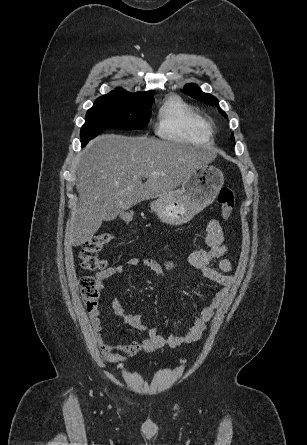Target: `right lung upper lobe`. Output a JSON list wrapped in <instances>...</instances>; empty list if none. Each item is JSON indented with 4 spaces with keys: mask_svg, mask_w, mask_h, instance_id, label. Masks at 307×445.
<instances>
[{
    "mask_svg": "<svg viewBox=\"0 0 307 445\" xmlns=\"http://www.w3.org/2000/svg\"><path fill=\"white\" fill-rule=\"evenodd\" d=\"M152 94H153V91L137 92V93L133 94V93H129L123 89H116L104 96H117V97L131 98V99H136V100H141V101H153L154 98H153Z\"/></svg>",
    "mask_w": 307,
    "mask_h": 445,
    "instance_id": "obj_1",
    "label": "right lung upper lobe"
}]
</instances>
